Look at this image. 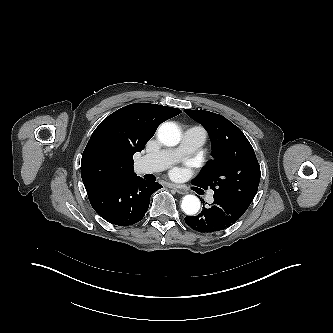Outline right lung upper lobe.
Wrapping results in <instances>:
<instances>
[{"label": "right lung upper lobe", "mask_w": 333, "mask_h": 333, "mask_svg": "<svg viewBox=\"0 0 333 333\" xmlns=\"http://www.w3.org/2000/svg\"><path fill=\"white\" fill-rule=\"evenodd\" d=\"M180 113L177 108L138 103L106 117L92 133L82 155L81 177L87 194L136 176L133 154L144 149L162 122Z\"/></svg>", "instance_id": "cb5924a9"}]
</instances>
